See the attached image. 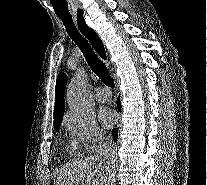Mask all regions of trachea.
I'll return each instance as SVG.
<instances>
[{"instance_id": "obj_1", "label": "trachea", "mask_w": 207, "mask_h": 185, "mask_svg": "<svg viewBox=\"0 0 207 185\" xmlns=\"http://www.w3.org/2000/svg\"><path fill=\"white\" fill-rule=\"evenodd\" d=\"M59 18L64 23L69 37L78 45L83 55L85 56L88 64L96 75L104 82L108 87H114V82L110 76V73L104 63L97 57L93 49L89 45L88 40L92 43L96 52L103 58H106L104 45L100 40L96 32L89 28L86 22H83V28L80 32L77 30L74 21L71 18L61 17ZM86 37V38H84Z\"/></svg>"}]
</instances>
